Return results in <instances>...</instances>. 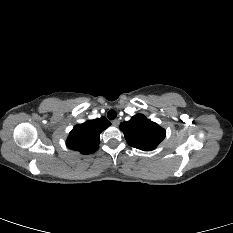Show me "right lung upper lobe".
Segmentation results:
<instances>
[{"label":"right lung upper lobe","instance_id":"1","mask_svg":"<svg viewBox=\"0 0 233 233\" xmlns=\"http://www.w3.org/2000/svg\"><path fill=\"white\" fill-rule=\"evenodd\" d=\"M111 123L104 117L75 125L66 141L68 148L82 154L95 152L99 147L100 133Z\"/></svg>","mask_w":233,"mask_h":233}]
</instances>
